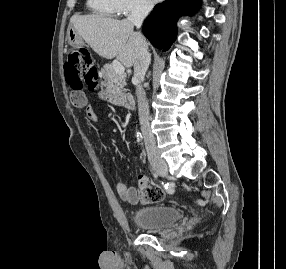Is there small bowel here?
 I'll use <instances>...</instances> for the list:
<instances>
[{
	"instance_id": "obj_1",
	"label": "small bowel",
	"mask_w": 286,
	"mask_h": 269,
	"mask_svg": "<svg viewBox=\"0 0 286 269\" xmlns=\"http://www.w3.org/2000/svg\"><path fill=\"white\" fill-rule=\"evenodd\" d=\"M100 93H118V88H100ZM100 99H122V94H100ZM71 102L76 107H85V116L89 121H94L96 116L93 109L86 106L87 98L82 90H73L71 92ZM102 166L106 171H110V165L107 159L102 160ZM115 189L118 196L126 202L136 203L140 197L136 188L129 186L126 179L116 182ZM172 192V189L169 188ZM168 191V190H167ZM169 192V191H168ZM169 192V193H170Z\"/></svg>"
}]
</instances>
